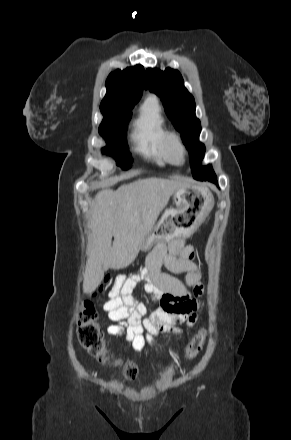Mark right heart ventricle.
<instances>
[{"label":"right heart ventricle","instance_id":"obj_1","mask_svg":"<svg viewBox=\"0 0 291 440\" xmlns=\"http://www.w3.org/2000/svg\"><path fill=\"white\" fill-rule=\"evenodd\" d=\"M168 133L157 98L149 96L132 123L130 138L134 151L159 165L170 162L166 151Z\"/></svg>","mask_w":291,"mask_h":440}]
</instances>
